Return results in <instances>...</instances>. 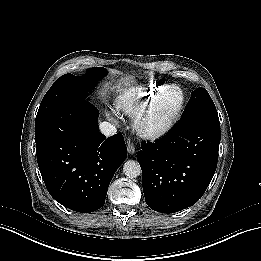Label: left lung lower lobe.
I'll return each mask as SVG.
<instances>
[{
    "mask_svg": "<svg viewBox=\"0 0 261 261\" xmlns=\"http://www.w3.org/2000/svg\"><path fill=\"white\" fill-rule=\"evenodd\" d=\"M220 123L197 116L180 121L164 138L143 143L137 154L146 204L161 213L194 205L217 167Z\"/></svg>",
    "mask_w": 261,
    "mask_h": 261,
    "instance_id": "left-lung-lower-lobe-1",
    "label": "left lung lower lobe"
}]
</instances>
